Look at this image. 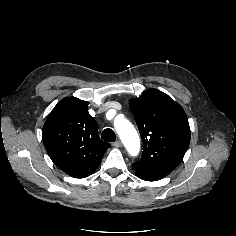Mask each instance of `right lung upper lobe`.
Returning <instances> with one entry per match:
<instances>
[{"label": "right lung upper lobe", "instance_id": "cb5924a9", "mask_svg": "<svg viewBox=\"0 0 236 236\" xmlns=\"http://www.w3.org/2000/svg\"><path fill=\"white\" fill-rule=\"evenodd\" d=\"M42 138L51 160L74 178L91 175L111 146L99 138L87 103L75 97H66L54 107Z\"/></svg>", "mask_w": 236, "mask_h": 236}]
</instances>
